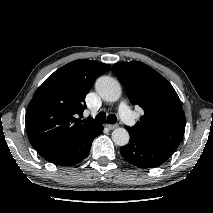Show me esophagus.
Instances as JSON below:
<instances>
[{"mask_svg":"<svg viewBox=\"0 0 213 213\" xmlns=\"http://www.w3.org/2000/svg\"><path fill=\"white\" fill-rule=\"evenodd\" d=\"M106 127H107L109 130H113V129L117 128L118 125H117V124H114V125L106 124Z\"/></svg>","mask_w":213,"mask_h":213,"instance_id":"obj_1","label":"esophagus"}]
</instances>
